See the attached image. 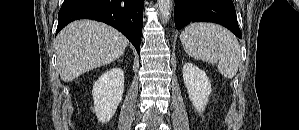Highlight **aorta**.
I'll return each instance as SVG.
<instances>
[{
	"label": "aorta",
	"mask_w": 299,
	"mask_h": 130,
	"mask_svg": "<svg viewBox=\"0 0 299 130\" xmlns=\"http://www.w3.org/2000/svg\"><path fill=\"white\" fill-rule=\"evenodd\" d=\"M159 11L164 23L170 18L172 0H158Z\"/></svg>",
	"instance_id": "obj_1"
}]
</instances>
